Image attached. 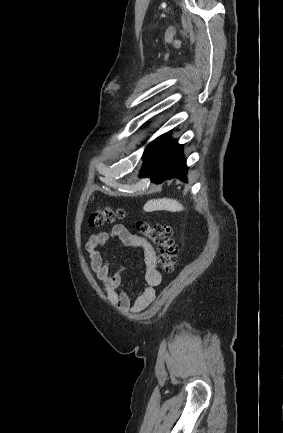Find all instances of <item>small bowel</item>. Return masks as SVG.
<instances>
[{
  "instance_id": "c3829d8e",
  "label": "small bowel",
  "mask_w": 283,
  "mask_h": 433,
  "mask_svg": "<svg viewBox=\"0 0 283 433\" xmlns=\"http://www.w3.org/2000/svg\"><path fill=\"white\" fill-rule=\"evenodd\" d=\"M118 239L124 246L137 248L142 252L145 264V287L135 297H130L123 289L122 274L124 269L111 274L110 260L99 250L109 239ZM90 257V266L96 279L102 284L109 303L123 313L143 311L155 298V287L161 282V273L157 266V256L153 246L145 239L133 235L121 225H114L109 231L91 234L85 246Z\"/></svg>"
}]
</instances>
